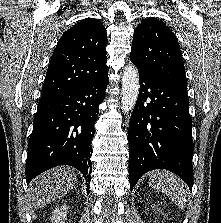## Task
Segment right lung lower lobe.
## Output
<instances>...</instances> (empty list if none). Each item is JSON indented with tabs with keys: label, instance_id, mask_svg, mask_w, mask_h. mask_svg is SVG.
I'll list each match as a JSON object with an SVG mask.
<instances>
[{
	"label": "right lung lower lobe",
	"instance_id": "right-lung-lower-lobe-1",
	"mask_svg": "<svg viewBox=\"0 0 221 223\" xmlns=\"http://www.w3.org/2000/svg\"><path fill=\"white\" fill-rule=\"evenodd\" d=\"M108 71L71 91L40 100L28 142L26 181L58 166L78 169L89 190L92 163L90 143L98 105L105 97Z\"/></svg>",
	"mask_w": 221,
	"mask_h": 223
}]
</instances>
